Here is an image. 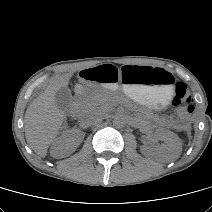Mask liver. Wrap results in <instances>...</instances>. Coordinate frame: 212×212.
Listing matches in <instances>:
<instances>
[{"mask_svg": "<svg viewBox=\"0 0 212 212\" xmlns=\"http://www.w3.org/2000/svg\"><path fill=\"white\" fill-rule=\"evenodd\" d=\"M72 74L54 78L47 88L35 98L25 113V137L29 146L40 157L47 155L52 140L56 137L66 118L55 103V94L66 87Z\"/></svg>", "mask_w": 212, "mask_h": 212, "instance_id": "6515ba94", "label": "liver"}]
</instances>
